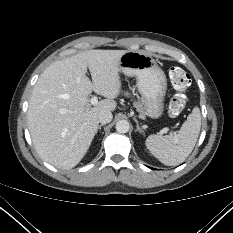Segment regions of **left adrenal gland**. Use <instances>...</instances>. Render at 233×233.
<instances>
[{
	"label": "left adrenal gland",
	"mask_w": 233,
	"mask_h": 233,
	"mask_svg": "<svg viewBox=\"0 0 233 233\" xmlns=\"http://www.w3.org/2000/svg\"><path fill=\"white\" fill-rule=\"evenodd\" d=\"M136 131H138L141 134H144L143 130L139 127L138 121H136Z\"/></svg>",
	"instance_id": "obj_1"
}]
</instances>
